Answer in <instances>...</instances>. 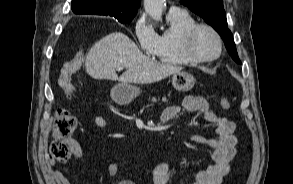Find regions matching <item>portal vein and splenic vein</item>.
I'll list each match as a JSON object with an SVG mask.
<instances>
[{"label":"portal vein and splenic vein","instance_id":"obj_1","mask_svg":"<svg viewBox=\"0 0 293 184\" xmlns=\"http://www.w3.org/2000/svg\"><path fill=\"white\" fill-rule=\"evenodd\" d=\"M123 69V67H118V70H122Z\"/></svg>","mask_w":293,"mask_h":184}]
</instances>
